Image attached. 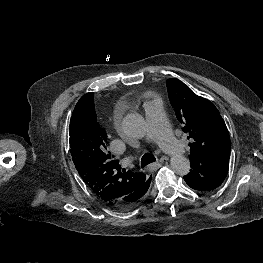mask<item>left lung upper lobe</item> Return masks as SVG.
Wrapping results in <instances>:
<instances>
[{
    "label": "left lung upper lobe",
    "instance_id": "obj_1",
    "mask_svg": "<svg viewBox=\"0 0 263 263\" xmlns=\"http://www.w3.org/2000/svg\"><path fill=\"white\" fill-rule=\"evenodd\" d=\"M170 103L192 140L189 159L209 163L230 158V137L218 109L178 79L166 81Z\"/></svg>",
    "mask_w": 263,
    "mask_h": 263
}]
</instances>
